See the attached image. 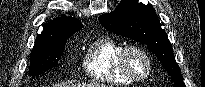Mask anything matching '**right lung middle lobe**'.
<instances>
[{
    "label": "right lung middle lobe",
    "mask_w": 205,
    "mask_h": 87,
    "mask_svg": "<svg viewBox=\"0 0 205 87\" xmlns=\"http://www.w3.org/2000/svg\"><path fill=\"white\" fill-rule=\"evenodd\" d=\"M68 38L36 42L31 52L30 75L37 76L43 71L57 66Z\"/></svg>",
    "instance_id": "1"
}]
</instances>
